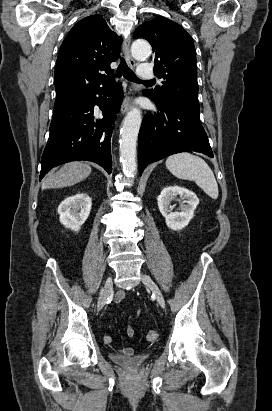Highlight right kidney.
Wrapping results in <instances>:
<instances>
[{"label":"right kidney","instance_id":"obj_1","mask_svg":"<svg viewBox=\"0 0 272 411\" xmlns=\"http://www.w3.org/2000/svg\"><path fill=\"white\" fill-rule=\"evenodd\" d=\"M91 207L92 200L86 193L67 197L58 207L59 220L66 228L78 232L87 220Z\"/></svg>","mask_w":272,"mask_h":411}]
</instances>
